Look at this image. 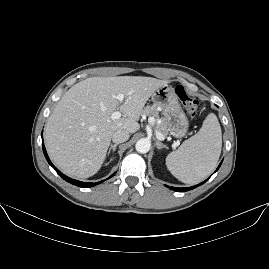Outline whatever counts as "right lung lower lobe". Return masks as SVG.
Segmentation results:
<instances>
[{
  "label": "right lung lower lobe",
  "instance_id": "98d812e1",
  "mask_svg": "<svg viewBox=\"0 0 269 269\" xmlns=\"http://www.w3.org/2000/svg\"><path fill=\"white\" fill-rule=\"evenodd\" d=\"M43 141V140H42ZM42 147H43V152H44V155L48 161V163L56 170V172L64 179L66 180L67 182L73 184V185H76V186H79V187H83V188H88V187H92L96 184H99L103 181H100V182H97V183H88V182H81V181H78V180H74V179H71L69 177H67L66 175H64L63 173H61L50 161L48 155H47V152H46V149H45V146H44V143L42 142ZM115 174V173H114ZM113 174V175H114ZM111 175L110 178L113 176Z\"/></svg>",
  "mask_w": 269,
  "mask_h": 269
}]
</instances>
